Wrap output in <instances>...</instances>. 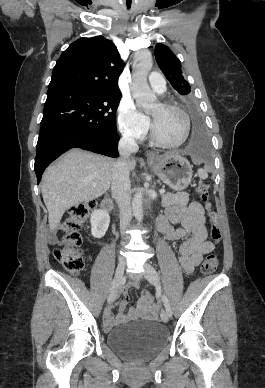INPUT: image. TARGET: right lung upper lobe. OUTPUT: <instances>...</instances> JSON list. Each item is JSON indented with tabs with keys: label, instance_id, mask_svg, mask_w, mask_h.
Listing matches in <instances>:
<instances>
[{
	"label": "right lung upper lobe",
	"instance_id": "1",
	"mask_svg": "<svg viewBox=\"0 0 265 388\" xmlns=\"http://www.w3.org/2000/svg\"><path fill=\"white\" fill-rule=\"evenodd\" d=\"M123 66L112 41L102 36L80 38L57 61L47 94L119 89Z\"/></svg>",
	"mask_w": 265,
	"mask_h": 388
}]
</instances>
